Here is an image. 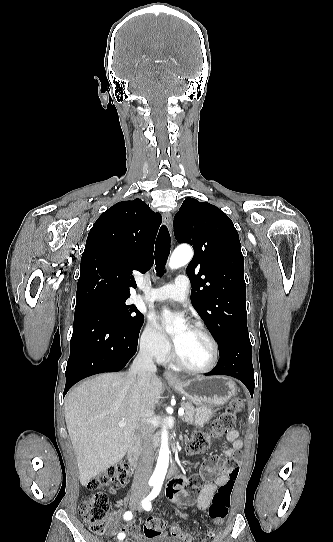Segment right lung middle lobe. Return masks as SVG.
Here are the masks:
<instances>
[{"label": "right lung middle lobe", "mask_w": 333, "mask_h": 542, "mask_svg": "<svg viewBox=\"0 0 333 542\" xmlns=\"http://www.w3.org/2000/svg\"><path fill=\"white\" fill-rule=\"evenodd\" d=\"M126 300L95 293L87 296L80 304L97 306L118 325L127 330L138 331L144 322V315L134 305H127Z\"/></svg>", "instance_id": "dd1d6c3e"}]
</instances>
